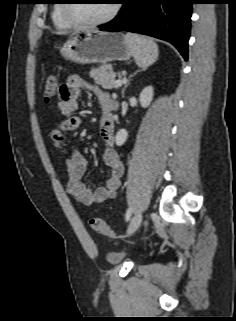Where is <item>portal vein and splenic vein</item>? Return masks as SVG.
Returning <instances> with one entry per match:
<instances>
[{"label":"portal vein and splenic vein","mask_w":236,"mask_h":321,"mask_svg":"<svg viewBox=\"0 0 236 321\" xmlns=\"http://www.w3.org/2000/svg\"><path fill=\"white\" fill-rule=\"evenodd\" d=\"M123 83H125V79H118L115 81L116 87H120Z\"/></svg>","instance_id":"portal-vein-and-splenic-vein-1"}]
</instances>
